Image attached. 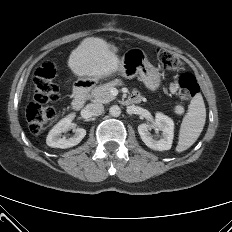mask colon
Wrapping results in <instances>:
<instances>
[{"label": "colon", "mask_w": 232, "mask_h": 232, "mask_svg": "<svg viewBox=\"0 0 232 232\" xmlns=\"http://www.w3.org/2000/svg\"><path fill=\"white\" fill-rule=\"evenodd\" d=\"M157 60L160 68L166 72H178L183 67L182 60L165 49L157 51ZM34 82V97L26 109V119L30 130L38 134L54 119V109L48 104L59 100V89L55 81V71L48 63L37 70ZM198 91L195 76L191 73L181 74L178 79V97L184 101L190 100Z\"/></svg>", "instance_id": "1"}]
</instances>
